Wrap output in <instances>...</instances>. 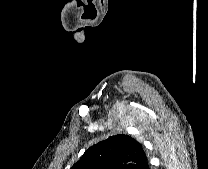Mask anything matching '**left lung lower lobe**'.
Returning a JSON list of instances; mask_svg holds the SVG:
<instances>
[{"label":"left lung lower lobe","mask_w":208,"mask_h":169,"mask_svg":"<svg viewBox=\"0 0 208 169\" xmlns=\"http://www.w3.org/2000/svg\"><path fill=\"white\" fill-rule=\"evenodd\" d=\"M144 169H150L149 164H147Z\"/></svg>","instance_id":"left-lung-lower-lobe-1"}]
</instances>
